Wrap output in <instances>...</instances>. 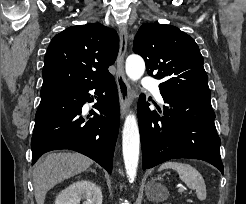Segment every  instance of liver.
<instances>
[{
  "label": "liver",
  "mask_w": 246,
  "mask_h": 204,
  "mask_svg": "<svg viewBox=\"0 0 246 204\" xmlns=\"http://www.w3.org/2000/svg\"><path fill=\"white\" fill-rule=\"evenodd\" d=\"M93 161L72 152L48 154L35 165L33 171L34 194L37 204H44L46 193L61 181L88 169Z\"/></svg>",
  "instance_id": "6515ba94"
}]
</instances>
